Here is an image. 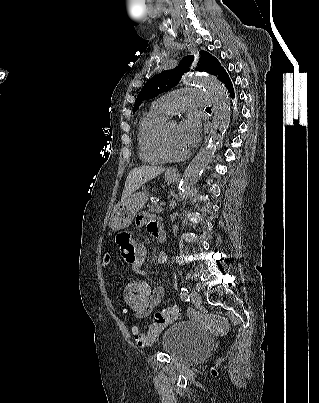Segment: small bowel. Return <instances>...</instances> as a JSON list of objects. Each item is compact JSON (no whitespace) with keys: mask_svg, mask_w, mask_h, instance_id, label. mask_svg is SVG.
<instances>
[{"mask_svg":"<svg viewBox=\"0 0 319 403\" xmlns=\"http://www.w3.org/2000/svg\"><path fill=\"white\" fill-rule=\"evenodd\" d=\"M136 226L145 227L147 231L158 241H163L165 238L164 231L159 223V221L149 213H140L136 217ZM115 249L121 250V262L129 263L132 266L134 272L140 275H144L145 271L142 269V264L144 262L145 256L147 254V248L143 244H137L135 242V235L130 234V229L124 228L121 231L115 232ZM167 255L161 252L158 255L157 262L163 264L166 262ZM99 265L105 267L108 265V254L102 252L99 254ZM148 282V281H147ZM128 287V284L125 286ZM152 299L150 300V309L148 313H134L137 318L147 317L152 309L156 307L163 299L164 288L162 286H157L152 288ZM124 299V290H123ZM121 308H130L129 303H122ZM130 336V333H129ZM130 338V337H129Z\"/></svg>","mask_w":319,"mask_h":403,"instance_id":"c3829d8e","label":"small bowel"}]
</instances>
